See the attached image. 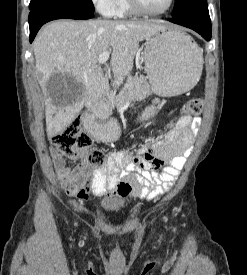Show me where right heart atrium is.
<instances>
[{"instance_id": "1", "label": "right heart atrium", "mask_w": 247, "mask_h": 275, "mask_svg": "<svg viewBox=\"0 0 247 275\" xmlns=\"http://www.w3.org/2000/svg\"><path fill=\"white\" fill-rule=\"evenodd\" d=\"M95 8L104 16H112L117 0H92Z\"/></svg>"}]
</instances>
